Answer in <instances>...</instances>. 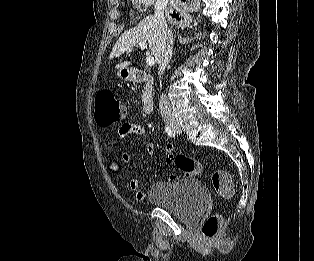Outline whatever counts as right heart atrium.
Returning a JSON list of instances; mask_svg holds the SVG:
<instances>
[{
    "mask_svg": "<svg viewBox=\"0 0 314 261\" xmlns=\"http://www.w3.org/2000/svg\"><path fill=\"white\" fill-rule=\"evenodd\" d=\"M159 1L161 0H135V4L143 11H149Z\"/></svg>",
    "mask_w": 314,
    "mask_h": 261,
    "instance_id": "1",
    "label": "right heart atrium"
}]
</instances>
